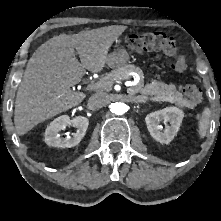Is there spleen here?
Returning <instances> with one entry per match:
<instances>
[{"label": "spleen", "mask_w": 221, "mask_h": 221, "mask_svg": "<svg viewBox=\"0 0 221 221\" xmlns=\"http://www.w3.org/2000/svg\"><path fill=\"white\" fill-rule=\"evenodd\" d=\"M198 119V133L200 138L206 135L209 123H210V109L208 107L204 108L202 114L197 115Z\"/></svg>", "instance_id": "1"}]
</instances>
